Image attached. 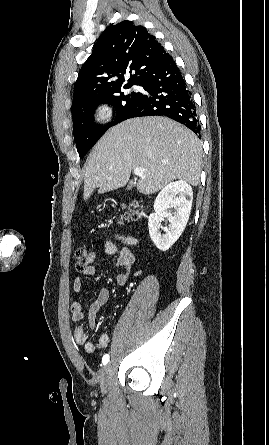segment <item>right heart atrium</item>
Instances as JSON below:
<instances>
[{
	"instance_id": "right-heart-atrium-1",
	"label": "right heart atrium",
	"mask_w": 269,
	"mask_h": 445,
	"mask_svg": "<svg viewBox=\"0 0 269 445\" xmlns=\"http://www.w3.org/2000/svg\"><path fill=\"white\" fill-rule=\"evenodd\" d=\"M114 110L111 104L107 102L98 103L93 111L94 118L101 123H108L112 120Z\"/></svg>"
}]
</instances>
